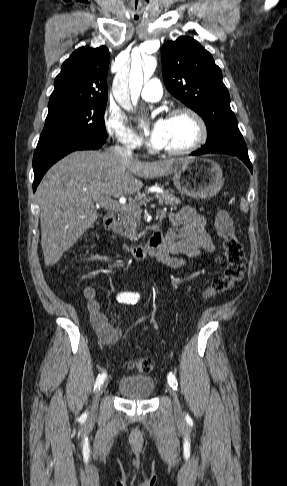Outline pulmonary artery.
Instances as JSON below:
<instances>
[{
	"label": "pulmonary artery",
	"mask_w": 287,
	"mask_h": 486,
	"mask_svg": "<svg viewBox=\"0 0 287 486\" xmlns=\"http://www.w3.org/2000/svg\"><path fill=\"white\" fill-rule=\"evenodd\" d=\"M162 96V87L158 79L149 80L141 91V97L146 101L155 102Z\"/></svg>",
	"instance_id": "pulmonary-artery-1"
}]
</instances>
